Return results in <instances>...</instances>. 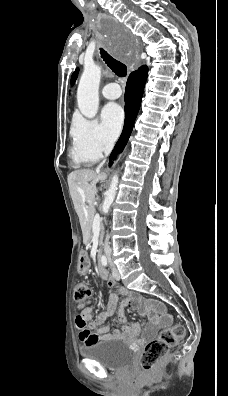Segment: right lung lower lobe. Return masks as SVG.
<instances>
[{"label":"right lung lower lobe","mask_w":228,"mask_h":396,"mask_svg":"<svg viewBox=\"0 0 228 396\" xmlns=\"http://www.w3.org/2000/svg\"><path fill=\"white\" fill-rule=\"evenodd\" d=\"M147 72V66H142L138 70L132 72L128 78L125 90L124 128L121 137L119 138L110 156V166L112 164L111 160L117 153L123 150L132 132L133 125L140 108L143 90L147 78Z\"/></svg>","instance_id":"obj_1"}]
</instances>
